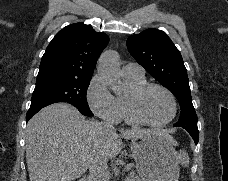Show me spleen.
<instances>
[{
  "label": "spleen",
  "instance_id": "obj_1",
  "mask_svg": "<svg viewBox=\"0 0 228 181\" xmlns=\"http://www.w3.org/2000/svg\"><path fill=\"white\" fill-rule=\"evenodd\" d=\"M178 159H179L181 165H183V167H187V165H189V157H188V153H186V151H180V153L178 155Z\"/></svg>",
  "mask_w": 228,
  "mask_h": 181
}]
</instances>
